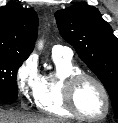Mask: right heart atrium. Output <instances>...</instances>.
Here are the masks:
<instances>
[{"instance_id": "d8ad5b80", "label": "right heart atrium", "mask_w": 118, "mask_h": 123, "mask_svg": "<svg viewBox=\"0 0 118 123\" xmlns=\"http://www.w3.org/2000/svg\"><path fill=\"white\" fill-rule=\"evenodd\" d=\"M16 85L22 100L34 99L39 87L41 74L33 56L26 58L16 71Z\"/></svg>"}]
</instances>
